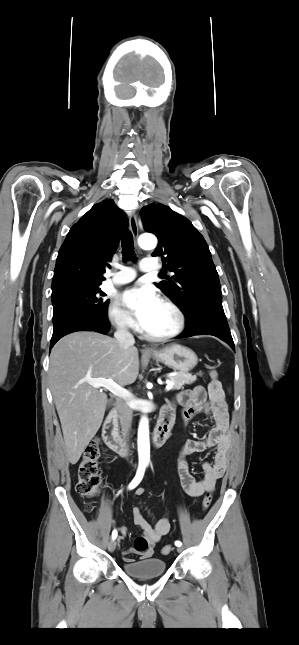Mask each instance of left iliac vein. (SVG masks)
<instances>
[{"label":"left iliac vein","instance_id":"obj_1","mask_svg":"<svg viewBox=\"0 0 299 645\" xmlns=\"http://www.w3.org/2000/svg\"><path fill=\"white\" fill-rule=\"evenodd\" d=\"M177 551H178V552H181V551H182V547H181V546H180V547H177Z\"/></svg>","mask_w":299,"mask_h":645}]
</instances>
